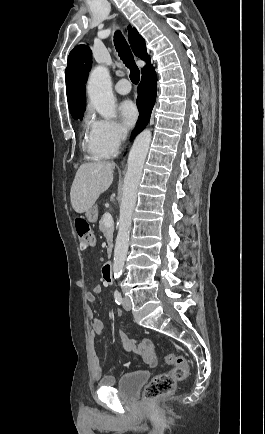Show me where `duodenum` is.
Returning <instances> with one entry per match:
<instances>
[{
    "label": "duodenum",
    "mask_w": 265,
    "mask_h": 434,
    "mask_svg": "<svg viewBox=\"0 0 265 434\" xmlns=\"http://www.w3.org/2000/svg\"><path fill=\"white\" fill-rule=\"evenodd\" d=\"M112 268L113 265L111 262H108L103 267V279L106 283L111 284L113 277H112Z\"/></svg>",
    "instance_id": "410a0bca"
}]
</instances>
